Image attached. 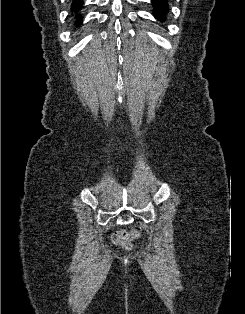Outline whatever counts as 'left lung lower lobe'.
<instances>
[{
    "label": "left lung lower lobe",
    "mask_w": 245,
    "mask_h": 314,
    "mask_svg": "<svg viewBox=\"0 0 245 314\" xmlns=\"http://www.w3.org/2000/svg\"><path fill=\"white\" fill-rule=\"evenodd\" d=\"M154 7L153 15L160 21H163L168 10V4L166 0H151Z\"/></svg>",
    "instance_id": "1"
}]
</instances>
